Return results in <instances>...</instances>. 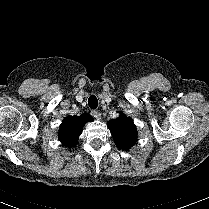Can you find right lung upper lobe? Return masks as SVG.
<instances>
[{
	"mask_svg": "<svg viewBox=\"0 0 209 209\" xmlns=\"http://www.w3.org/2000/svg\"><path fill=\"white\" fill-rule=\"evenodd\" d=\"M93 121V117L87 113L80 116L64 118L59 129V140L66 147H73L77 144L82 129L87 122Z\"/></svg>",
	"mask_w": 209,
	"mask_h": 209,
	"instance_id": "obj_1",
	"label": "right lung upper lobe"
}]
</instances>
